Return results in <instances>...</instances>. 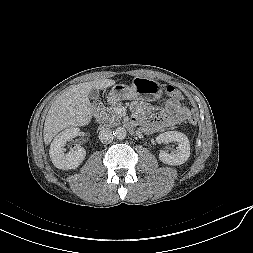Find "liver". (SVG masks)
I'll use <instances>...</instances> for the list:
<instances>
[{"label": "liver", "instance_id": "obj_1", "mask_svg": "<svg viewBox=\"0 0 253 253\" xmlns=\"http://www.w3.org/2000/svg\"><path fill=\"white\" fill-rule=\"evenodd\" d=\"M115 84L112 79H99L70 87L52 102L44 123V142L49 144L61 130L88 125L92 119L89 92L103 90Z\"/></svg>", "mask_w": 253, "mask_h": 253}]
</instances>
